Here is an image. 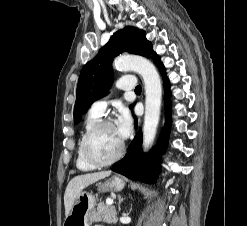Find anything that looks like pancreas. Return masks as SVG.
I'll return each instance as SVG.
<instances>
[{"mask_svg":"<svg viewBox=\"0 0 247 226\" xmlns=\"http://www.w3.org/2000/svg\"><path fill=\"white\" fill-rule=\"evenodd\" d=\"M116 220L117 214L114 207L104 203L98 204L97 211L90 216V221L96 222L114 223Z\"/></svg>","mask_w":247,"mask_h":226,"instance_id":"cf45deb5","label":"pancreas"}]
</instances>
